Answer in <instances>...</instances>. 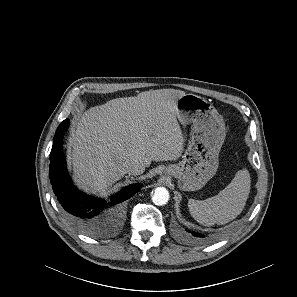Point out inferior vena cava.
<instances>
[{
  "label": "inferior vena cava",
  "instance_id": "obj_1",
  "mask_svg": "<svg viewBox=\"0 0 297 297\" xmlns=\"http://www.w3.org/2000/svg\"><path fill=\"white\" fill-rule=\"evenodd\" d=\"M145 166L138 161H128L125 164V171L130 175H140L144 172Z\"/></svg>",
  "mask_w": 297,
  "mask_h": 297
}]
</instances>
